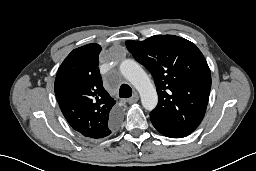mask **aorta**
<instances>
[{
	"label": "aorta",
	"mask_w": 256,
	"mask_h": 171,
	"mask_svg": "<svg viewBox=\"0 0 256 171\" xmlns=\"http://www.w3.org/2000/svg\"><path fill=\"white\" fill-rule=\"evenodd\" d=\"M121 74L137 89L143 107L151 111L158 103L156 89L149 76L141 66L131 59H126L120 64Z\"/></svg>",
	"instance_id": "762f6f07"
}]
</instances>
